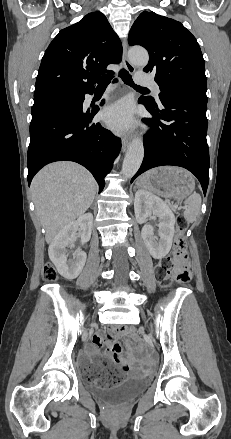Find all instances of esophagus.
<instances>
[{"label": "esophagus", "mask_w": 231, "mask_h": 439, "mask_svg": "<svg viewBox=\"0 0 231 439\" xmlns=\"http://www.w3.org/2000/svg\"><path fill=\"white\" fill-rule=\"evenodd\" d=\"M122 46H123V57H122V62L123 65L125 66V68L130 72V73H134L135 72V67L130 63L128 57H127V41L126 39H123L122 41ZM130 143V137H123L122 138V148L123 150H126V148L128 147Z\"/></svg>", "instance_id": "1"}]
</instances>
